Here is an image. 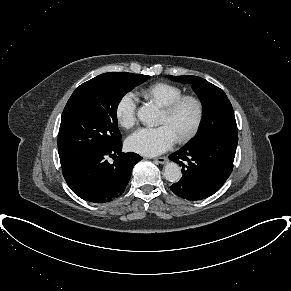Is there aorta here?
Listing matches in <instances>:
<instances>
[{
    "label": "aorta",
    "mask_w": 291,
    "mask_h": 291,
    "mask_svg": "<svg viewBox=\"0 0 291 291\" xmlns=\"http://www.w3.org/2000/svg\"><path fill=\"white\" fill-rule=\"evenodd\" d=\"M138 119L150 126L156 125L159 117V110L156 106L145 104L137 111ZM181 169L178 164L169 162L164 167V177L167 181L175 183L181 179Z\"/></svg>",
    "instance_id": "1"
}]
</instances>
